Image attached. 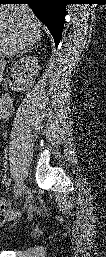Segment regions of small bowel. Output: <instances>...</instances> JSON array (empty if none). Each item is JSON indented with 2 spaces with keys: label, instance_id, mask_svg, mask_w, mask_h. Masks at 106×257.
<instances>
[{
  "label": "small bowel",
  "instance_id": "small-bowel-1",
  "mask_svg": "<svg viewBox=\"0 0 106 257\" xmlns=\"http://www.w3.org/2000/svg\"><path fill=\"white\" fill-rule=\"evenodd\" d=\"M19 211H12L9 205L5 201H1V210H0V222L3 224L6 220L12 219L17 216Z\"/></svg>",
  "mask_w": 106,
  "mask_h": 257
}]
</instances>
